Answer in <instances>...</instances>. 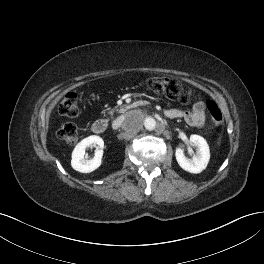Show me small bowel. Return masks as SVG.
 <instances>
[{"label":"small bowel","mask_w":264,"mask_h":264,"mask_svg":"<svg viewBox=\"0 0 264 264\" xmlns=\"http://www.w3.org/2000/svg\"><path fill=\"white\" fill-rule=\"evenodd\" d=\"M204 109V102L198 100L191 110L169 109L165 111V114L170 118H182L190 126L201 127L206 121Z\"/></svg>","instance_id":"obj_1"}]
</instances>
